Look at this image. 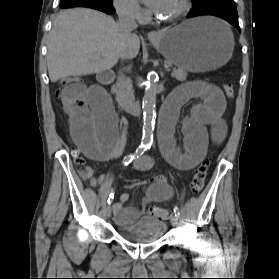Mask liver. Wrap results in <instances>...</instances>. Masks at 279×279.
Wrapping results in <instances>:
<instances>
[{"instance_id": "6515ba94", "label": "liver", "mask_w": 279, "mask_h": 279, "mask_svg": "<svg viewBox=\"0 0 279 279\" xmlns=\"http://www.w3.org/2000/svg\"><path fill=\"white\" fill-rule=\"evenodd\" d=\"M120 42L118 24L112 17L87 8L61 11L53 22L47 45L51 82L110 70L121 58ZM126 50L128 59L138 55L140 40L136 34L127 38Z\"/></svg>"}]
</instances>
